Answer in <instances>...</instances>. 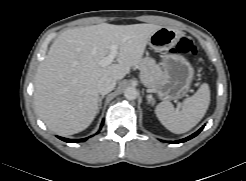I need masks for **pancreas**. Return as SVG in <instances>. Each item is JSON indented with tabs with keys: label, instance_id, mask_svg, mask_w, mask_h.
Masks as SVG:
<instances>
[{
	"label": "pancreas",
	"instance_id": "obj_1",
	"mask_svg": "<svg viewBox=\"0 0 246 181\" xmlns=\"http://www.w3.org/2000/svg\"><path fill=\"white\" fill-rule=\"evenodd\" d=\"M141 81L149 88H153L163 77L161 67L152 58L143 59L139 65Z\"/></svg>",
	"mask_w": 246,
	"mask_h": 181
}]
</instances>
